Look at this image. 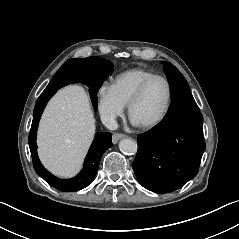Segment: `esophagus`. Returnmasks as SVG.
Segmentation results:
<instances>
[{"label": "esophagus", "instance_id": "esophagus-1", "mask_svg": "<svg viewBox=\"0 0 239 239\" xmlns=\"http://www.w3.org/2000/svg\"><path fill=\"white\" fill-rule=\"evenodd\" d=\"M124 137H126L125 134H122V133H114V134H113V137H112V142H113V144H116L119 139H122V138H124Z\"/></svg>", "mask_w": 239, "mask_h": 239}]
</instances>
